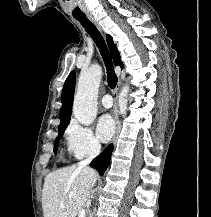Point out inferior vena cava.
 Here are the masks:
<instances>
[{
    "instance_id": "602c4592",
    "label": "inferior vena cava",
    "mask_w": 211,
    "mask_h": 217,
    "mask_svg": "<svg viewBox=\"0 0 211 217\" xmlns=\"http://www.w3.org/2000/svg\"><path fill=\"white\" fill-rule=\"evenodd\" d=\"M100 144H95L93 147H92V150L90 152V155L88 158H86L85 160H82L78 163V167L80 168H85L87 167V165L93 160L94 157L97 156V154L100 152Z\"/></svg>"
}]
</instances>
